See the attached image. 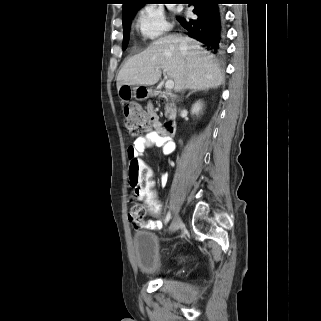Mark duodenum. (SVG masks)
<instances>
[{"mask_svg": "<svg viewBox=\"0 0 321 321\" xmlns=\"http://www.w3.org/2000/svg\"><path fill=\"white\" fill-rule=\"evenodd\" d=\"M160 97H165V93H160L159 94ZM164 132L167 134V135H173L174 132H175V123L173 120H169L165 123V126H164Z\"/></svg>", "mask_w": 321, "mask_h": 321, "instance_id": "410a0bca", "label": "duodenum"}]
</instances>
